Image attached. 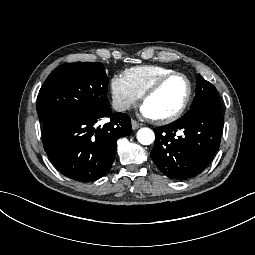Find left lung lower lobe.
<instances>
[{
  "mask_svg": "<svg viewBox=\"0 0 255 255\" xmlns=\"http://www.w3.org/2000/svg\"><path fill=\"white\" fill-rule=\"evenodd\" d=\"M222 130L220 109L208 105L192 107L177 121L154 129L151 158L167 177L191 179L202 173L216 154Z\"/></svg>",
  "mask_w": 255,
  "mask_h": 255,
  "instance_id": "obj_1",
  "label": "left lung lower lobe"
}]
</instances>
